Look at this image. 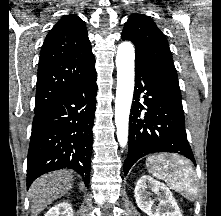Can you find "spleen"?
<instances>
[{
  "label": "spleen",
  "mask_w": 221,
  "mask_h": 216,
  "mask_svg": "<svg viewBox=\"0 0 221 216\" xmlns=\"http://www.w3.org/2000/svg\"><path fill=\"white\" fill-rule=\"evenodd\" d=\"M148 171L161 179L185 197H195L198 192L196 175L191 163L179 155L149 156L146 160Z\"/></svg>",
  "instance_id": "1"
}]
</instances>
